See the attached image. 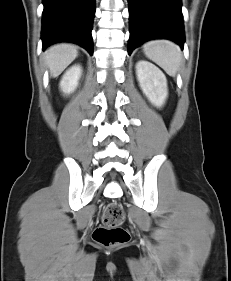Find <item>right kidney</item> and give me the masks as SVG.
<instances>
[{
	"label": "right kidney",
	"mask_w": 231,
	"mask_h": 281,
	"mask_svg": "<svg viewBox=\"0 0 231 281\" xmlns=\"http://www.w3.org/2000/svg\"><path fill=\"white\" fill-rule=\"evenodd\" d=\"M82 75V68L80 65L70 67L62 76L60 81V89L64 94L73 93L78 87L79 80Z\"/></svg>",
	"instance_id": "1"
}]
</instances>
